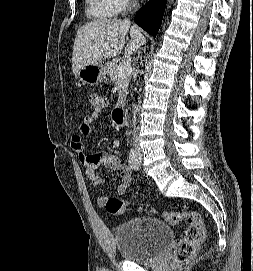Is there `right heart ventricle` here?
<instances>
[{"label":"right heart ventricle","instance_id":"obj_1","mask_svg":"<svg viewBox=\"0 0 253 271\" xmlns=\"http://www.w3.org/2000/svg\"><path fill=\"white\" fill-rule=\"evenodd\" d=\"M87 13L95 19H108L120 12L112 0H86Z\"/></svg>","mask_w":253,"mask_h":271}]
</instances>
